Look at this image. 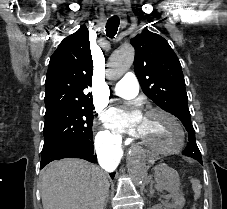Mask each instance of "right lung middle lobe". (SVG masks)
<instances>
[{
	"instance_id": "1",
	"label": "right lung middle lobe",
	"mask_w": 227,
	"mask_h": 209,
	"mask_svg": "<svg viewBox=\"0 0 227 209\" xmlns=\"http://www.w3.org/2000/svg\"><path fill=\"white\" fill-rule=\"evenodd\" d=\"M92 98H57L47 102L43 150L79 140H92Z\"/></svg>"
}]
</instances>
